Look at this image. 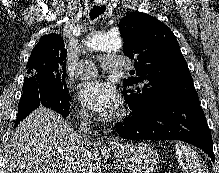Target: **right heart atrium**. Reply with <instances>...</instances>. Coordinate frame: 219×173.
Instances as JSON below:
<instances>
[{
  "instance_id": "right-heart-atrium-1",
  "label": "right heart atrium",
  "mask_w": 219,
  "mask_h": 173,
  "mask_svg": "<svg viewBox=\"0 0 219 173\" xmlns=\"http://www.w3.org/2000/svg\"><path fill=\"white\" fill-rule=\"evenodd\" d=\"M79 114L83 117V118H88V113L84 108H80L79 109Z\"/></svg>"
}]
</instances>
